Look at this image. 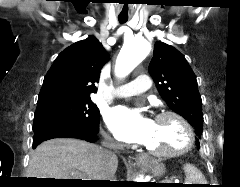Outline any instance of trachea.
<instances>
[{"mask_svg": "<svg viewBox=\"0 0 240 187\" xmlns=\"http://www.w3.org/2000/svg\"><path fill=\"white\" fill-rule=\"evenodd\" d=\"M118 20H119L120 23H125V22H127L128 18H126V17H119Z\"/></svg>", "mask_w": 240, "mask_h": 187, "instance_id": "trachea-1", "label": "trachea"}]
</instances>
